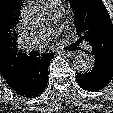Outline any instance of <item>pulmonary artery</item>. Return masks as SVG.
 <instances>
[{"instance_id": "1", "label": "pulmonary artery", "mask_w": 113, "mask_h": 113, "mask_svg": "<svg viewBox=\"0 0 113 113\" xmlns=\"http://www.w3.org/2000/svg\"><path fill=\"white\" fill-rule=\"evenodd\" d=\"M48 17L51 21L57 20L62 13V6L60 0H52L44 4ZM46 42V36L39 34L28 38L24 43V48L28 51L35 50L42 47Z\"/></svg>"}]
</instances>
